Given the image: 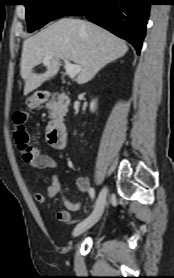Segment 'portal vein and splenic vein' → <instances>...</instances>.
<instances>
[{
  "instance_id": "obj_1",
  "label": "portal vein and splenic vein",
  "mask_w": 174,
  "mask_h": 278,
  "mask_svg": "<svg viewBox=\"0 0 174 278\" xmlns=\"http://www.w3.org/2000/svg\"><path fill=\"white\" fill-rule=\"evenodd\" d=\"M60 58L63 59L66 73L70 78H74L81 71V67L79 65L70 63L69 60L63 56H60ZM49 60L50 57H45L43 62L46 64L49 63Z\"/></svg>"
}]
</instances>
